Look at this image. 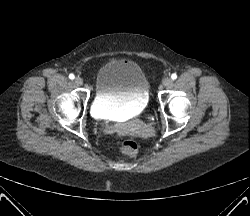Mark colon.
I'll list each match as a JSON object with an SVG mask.
<instances>
[{"mask_svg":"<svg viewBox=\"0 0 250 216\" xmlns=\"http://www.w3.org/2000/svg\"><path fill=\"white\" fill-rule=\"evenodd\" d=\"M120 152L125 156H135L138 152V145L133 140H124L119 145Z\"/></svg>","mask_w":250,"mask_h":216,"instance_id":"1","label":"colon"}]
</instances>
